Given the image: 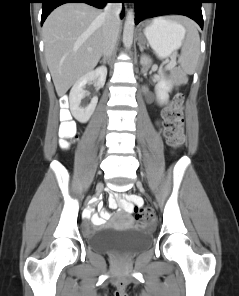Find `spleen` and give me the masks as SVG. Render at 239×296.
<instances>
[{"label": "spleen", "mask_w": 239, "mask_h": 296, "mask_svg": "<svg viewBox=\"0 0 239 296\" xmlns=\"http://www.w3.org/2000/svg\"><path fill=\"white\" fill-rule=\"evenodd\" d=\"M182 26V25H181ZM183 27V26H182ZM186 32L185 28L183 27ZM200 52V38L195 27L187 29V36L182 48L180 64L183 71L189 75L193 74Z\"/></svg>", "instance_id": "spleen-1"}]
</instances>
